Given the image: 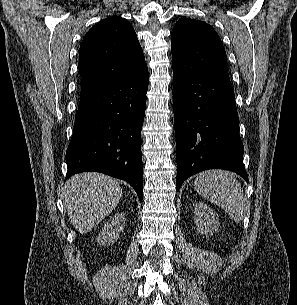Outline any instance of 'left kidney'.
I'll list each match as a JSON object with an SVG mask.
<instances>
[{"label":"left kidney","mask_w":297,"mask_h":305,"mask_svg":"<svg viewBox=\"0 0 297 305\" xmlns=\"http://www.w3.org/2000/svg\"><path fill=\"white\" fill-rule=\"evenodd\" d=\"M194 220L198 232L201 234H213L218 230L219 220L213 209L203 202L194 204Z\"/></svg>","instance_id":"5707ae66"}]
</instances>
